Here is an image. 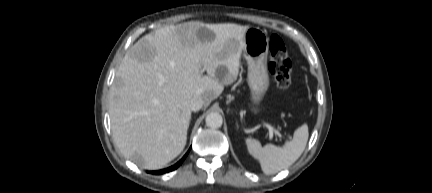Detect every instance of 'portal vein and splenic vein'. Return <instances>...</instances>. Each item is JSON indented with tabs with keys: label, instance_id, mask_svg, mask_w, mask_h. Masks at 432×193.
<instances>
[{
	"label": "portal vein and splenic vein",
	"instance_id": "obj_1",
	"mask_svg": "<svg viewBox=\"0 0 432 193\" xmlns=\"http://www.w3.org/2000/svg\"><path fill=\"white\" fill-rule=\"evenodd\" d=\"M264 125H265V126L268 128V130H269L270 138L273 136V133H274L275 135L279 136L280 138L282 137L281 133H280L278 130H276L274 127H272L270 124H268V123H264Z\"/></svg>",
	"mask_w": 432,
	"mask_h": 193
}]
</instances>
